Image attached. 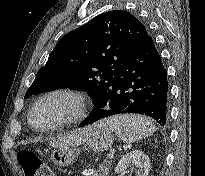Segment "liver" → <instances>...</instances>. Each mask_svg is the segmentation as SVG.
Listing matches in <instances>:
<instances>
[{"label": "liver", "instance_id": "6515ba94", "mask_svg": "<svg viewBox=\"0 0 205 176\" xmlns=\"http://www.w3.org/2000/svg\"><path fill=\"white\" fill-rule=\"evenodd\" d=\"M90 130V127H86L72 131L64 135L57 141L51 142V144L58 148H70L81 145L87 140Z\"/></svg>", "mask_w": 205, "mask_h": 176}]
</instances>
